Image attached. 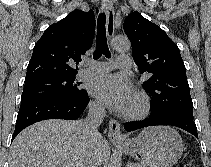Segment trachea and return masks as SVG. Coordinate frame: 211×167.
Listing matches in <instances>:
<instances>
[{
  "label": "trachea",
  "instance_id": "3493384b",
  "mask_svg": "<svg viewBox=\"0 0 211 167\" xmlns=\"http://www.w3.org/2000/svg\"><path fill=\"white\" fill-rule=\"evenodd\" d=\"M106 15L105 13H100L97 19V39H96V50L94 52L93 58L98 59L101 55H105L107 58L111 57L109 51L107 40H106Z\"/></svg>",
  "mask_w": 211,
  "mask_h": 167
}]
</instances>
